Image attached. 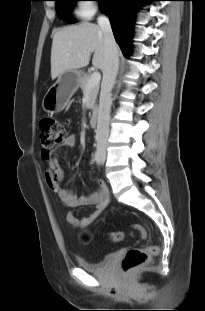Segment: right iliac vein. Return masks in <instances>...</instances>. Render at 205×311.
I'll return each instance as SVG.
<instances>
[{"label": "right iliac vein", "instance_id": "63e3f726", "mask_svg": "<svg viewBox=\"0 0 205 311\" xmlns=\"http://www.w3.org/2000/svg\"><path fill=\"white\" fill-rule=\"evenodd\" d=\"M98 151H99V155H100V160L103 162L104 160H105V158H106V156H105V153H104V151H105V148L103 147V146H100L99 148H98Z\"/></svg>", "mask_w": 205, "mask_h": 311}]
</instances>
